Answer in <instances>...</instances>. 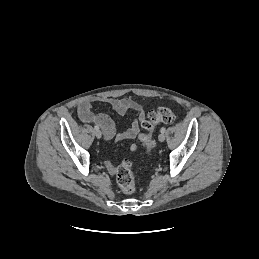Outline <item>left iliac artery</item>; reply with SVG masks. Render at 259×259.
<instances>
[{
    "label": "left iliac artery",
    "instance_id": "left-iliac-artery-1",
    "mask_svg": "<svg viewBox=\"0 0 259 259\" xmlns=\"http://www.w3.org/2000/svg\"><path fill=\"white\" fill-rule=\"evenodd\" d=\"M162 133H164L166 131V129L164 127L161 128L160 130Z\"/></svg>",
    "mask_w": 259,
    "mask_h": 259
}]
</instances>
